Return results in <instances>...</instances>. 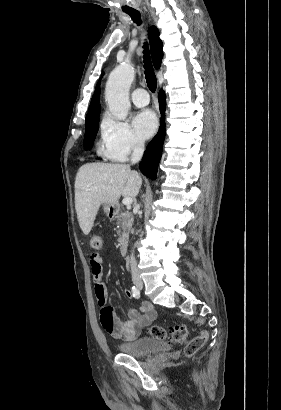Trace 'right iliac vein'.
Returning <instances> with one entry per match:
<instances>
[{"mask_svg":"<svg viewBox=\"0 0 281 410\" xmlns=\"http://www.w3.org/2000/svg\"><path fill=\"white\" fill-rule=\"evenodd\" d=\"M136 285H137L138 287H142V283H140V282L136 283Z\"/></svg>","mask_w":281,"mask_h":410,"instance_id":"1","label":"right iliac vein"}]
</instances>
